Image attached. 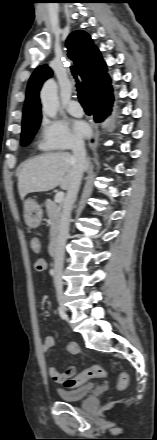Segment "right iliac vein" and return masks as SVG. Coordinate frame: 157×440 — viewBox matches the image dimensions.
I'll return each instance as SVG.
<instances>
[{
    "label": "right iliac vein",
    "instance_id": "1",
    "mask_svg": "<svg viewBox=\"0 0 157 440\" xmlns=\"http://www.w3.org/2000/svg\"><path fill=\"white\" fill-rule=\"evenodd\" d=\"M57 299H58V302H59L61 308L66 312L67 308L65 306V297H64V294L60 288L57 289Z\"/></svg>",
    "mask_w": 157,
    "mask_h": 440
}]
</instances>
